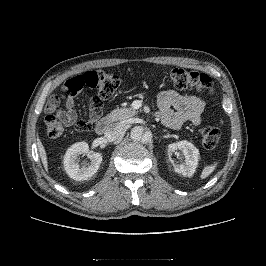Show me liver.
I'll return each instance as SVG.
<instances>
[{
	"mask_svg": "<svg viewBox=\"0 0 266 266\" xmlns=\"http://www.w3.org/2000/svg\"><path fill=\"white\" fill-rule=\"evenodd\" d=\"M37 147H38V151H39V155H40L42 164H43L45 170L47 171L48 170L47 154H46L45 148H44L41 140L39 139V137L37 139Z\"/></svg>",
	"mask_w": 266,
	"mask_h": 266,
	"instance_id": "1",
	"label": "liver"
}]
</instances>
